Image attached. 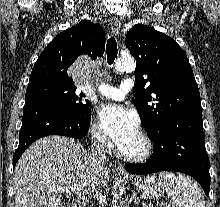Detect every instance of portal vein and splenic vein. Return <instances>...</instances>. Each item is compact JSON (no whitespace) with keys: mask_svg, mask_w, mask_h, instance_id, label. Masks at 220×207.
I'll return each instance as SVG.
<instances>
[{"mask_svg":"<svg viewBox=\"0 0 220 207\" xmlns=\"http://www.w3.org/2000/svg\"><path fill=\"white\" fill-rule=\"evenodd\" d=\"M54 191H55V192H58V193H61V194H62V193L69 194V195L72 194L71 191H70L68 188L60 187V186H58L57 188H55ZM168 207H170V206H168Z\"/></svg>","mask_w":220,"mask_h":207,"instance_id":"18ae733b","label":"portal vein and splenic vein"}]
</instances>
